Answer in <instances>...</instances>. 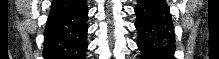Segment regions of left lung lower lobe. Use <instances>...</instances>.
<instances>
[{
    "mask_svg": "<svg viewBox=\"0 0 219 59\" xmlns=\"http://www.w3.org/2000/svg\"><path fill=\"white\" fill-rule=\"evenodd\" d=\"M134 10L137 45L142 59H174V25L167 3L164 0H138Z\"/></svg>",
    "mask_w": 219,
    "mask_h": 59,
    "instance_id": "1",
    "label": "left lung lower lobe"
}]
</instances>
